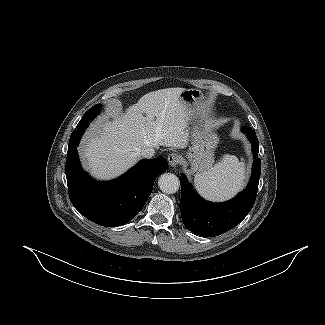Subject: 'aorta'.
Masks as SVG:
<instances>
[{
    "label": "aorta",
    "instance_id": "obj_1",
    "mask_svg": "<svg viewBox=\"0 0 325 325\" xmlns=\"http://www.w3.org/2000/svg\"><path fill=\"white\" fill-rule=\"evenodd\" d=\"M158 186L162 192L173 194L178 191L180 181L176 175L172 173H164L158 179Z\"/></svg>",
    "mask_w": 325,
    "mask_h": 325
}]
</instances>
